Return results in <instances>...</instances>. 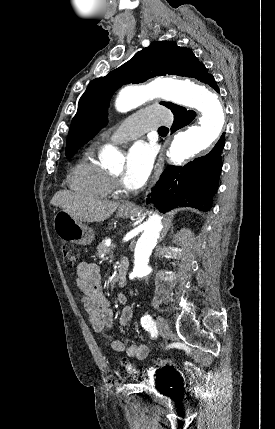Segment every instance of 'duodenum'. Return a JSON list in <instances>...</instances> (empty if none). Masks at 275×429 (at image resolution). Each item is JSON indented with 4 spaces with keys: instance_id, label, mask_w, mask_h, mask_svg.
I'll use <instances>...</instances> for the list:
<instances>
[{
    "instance_id": "1",
    "label": "duodenum",
    "mask_w": 275,
    "mask_h": 429,
    "mask_svg": "<svg viewBox=\"0 0 275 429\" xmlns=\"http://www.w3.org/2000/svg\"><path fill=\"white\" fill-rule=\"evenodd\" d=\"M128 264L126 261H121L117 269L118 285L123 287L126 284Z\"/></svg>"
}]
</instances>
